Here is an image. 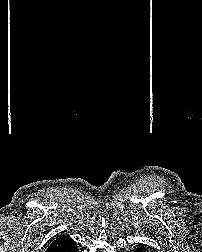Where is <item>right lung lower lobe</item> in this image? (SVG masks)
<instances>
[{"label":"right lung lower lobe","instance_id":"right-lung-lower-lobe-1","mask_svg":"<svg viewBox=\"0 0 202 252\" xmlns=\"http://www.w3.org/2000/svg\"><path fill=\"white\" fill-rule=\"evenodd\" d=\"M65 252H80L79 249L77 248L76 243L74 245H72L68 250H66Z\"/></svg>","mask_w":202,"mask_h":252}]
</instances>
